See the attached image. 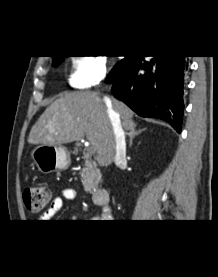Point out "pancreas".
Returning a JSON list of instances; mask_svg holds the SVG:
<instances>
[{
  "label": "pancreas",
  "instance_id": "pancreas-1",
  "mask_svg": "<svg viewBox=\"0 0 218 277\" xmlns=\"http://www.w3.org/2000/svg\"><path fill=\"white\" fill-rule=\"evenodd\" d=\"M82 184L86 192H92L93 188L98 185L101 180L100 170L94 161L85 157L84 168L81 171Z\"/></svg>",
  "mask_w": 218,
  "mask_h": 277
}]
</instances>
